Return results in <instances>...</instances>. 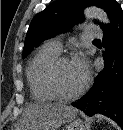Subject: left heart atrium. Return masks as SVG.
<instances>
[{
    "mask_svg": "<svg viewBox=\"0 0 123 130\" xmlns=\"http://www.w3.org/2000/svg\"><path fill=\"white\" fill-rule=\"evenodd\" d=\"M72 65L75 68V70L83 77L86 78L87 76V60L83 54H77L72 59Z\"/></svg>",
    "mask_w": 123,
    "mask_h": 130,
    "instance_id": "left-heart-atrium-1",
    "label": "left heart atrium"
}]
</instances>
